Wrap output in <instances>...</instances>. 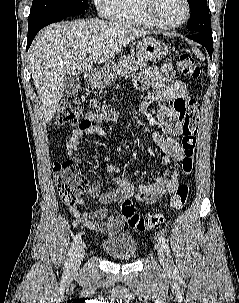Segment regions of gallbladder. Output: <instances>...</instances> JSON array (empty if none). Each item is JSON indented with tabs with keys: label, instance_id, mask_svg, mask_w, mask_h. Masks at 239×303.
I'll return each instance as SVG.
<instances>
[{
	"label": "gallbladder",
	"instance_id": "bac80fb5",
	"mask_svg": "<svg viewBox=\"0 0 239 303\" xmlns=\"http://www.w3.org/2000/svg\"><path fill=\"white\" fill-rule=\"evenodd\" d=\"M80 89V79L77 75L68 76L64 82L63 95L72 96Z\"/></svg>",
	"mask_w": 239,
	"mask_h": 303
}]
</instances>
